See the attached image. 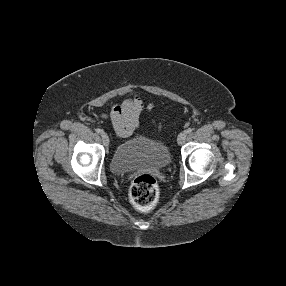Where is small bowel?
Returning <instances> with one entry per match:
<instances>
[{"mask_svg":"<svg viewBox=\"0 0 286 286\" xmlns=\"http://www.w3.org/2000/svg\"><path fill=\"white\" fill-rule=\"evenodd\" d=\"M152 103L144 104L139 97L127 98L120 104L112 106L108 119L115 134L125 139L140 127V117L144 111H149Z\"/></svg>","mask_w":286,"mask_h":286,"instance_id":"obj_1","label":"small bowel"}]
</instances>
